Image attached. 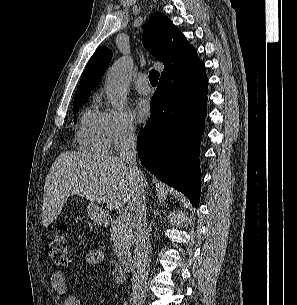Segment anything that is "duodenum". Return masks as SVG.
Returning a JSON list of instances; mask_svg holds the SVG:
<instances>
[{"label":"duodenum","instance_id":"1","mask_svg":"<svg viewBox=\"0 0 297 305\" xmlns=\"http://www.w3.org/2000/svg\"><path fill=\"white\" fill-rule=\"evenodd\" d=\"M133 260H134V258L132 256V254H130L128 252H123L119 256V264L125 270L131 269Z\"/></svg>","mask_w":297,"mask_h":305}]
</instances>
